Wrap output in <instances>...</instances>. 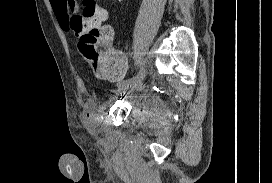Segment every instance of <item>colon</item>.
<instances>
[{"label":"colon","instance_id":"obj_1","mask_svg":"<svg viewBox=\"0 0 272 183\" xmlns=\"http://www.w3.org/2000/svg\"><path fill=\"white\" fill-rule=\"evenodd\" d=\"M74 3L68 0L67 28L79 38V51L88 67L97 74L104 73L119 59L109 44L112 34L103 25L107 13L95 0H83L81 12L75 13Z\"/></svg>","mask_w":272,"mask_h":183}]
</instances>
